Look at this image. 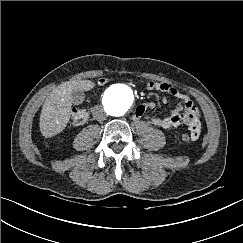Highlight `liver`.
Segmentation results:
<instances>
[{"instance_id":"6515ba94","label":"liver","mask_w":243,"mask_h":243,"mask_svg":"<svg viewBox=\"0 0 243 243\" xmlns=\"http://www.w3.org/2000/svg\"><path fill=\"white\" fill-rule=\"evenodd\" d=\"M82 81H68L59 85L46 98L40 114V132L46 137H52L62 132L67 126L72 106V94L83 90Z\"/></svg>"}]
</instances>
